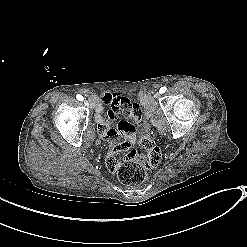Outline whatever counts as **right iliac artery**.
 I'll use <instances>...</instances> for the list:
<instances>
[{
	"label": "right iliac artery",
	"instance_id": "obj_1",
	"mask_svg": "<svg viewBox=\"0 0 247 247\" xmlns=\"http://www.w3.org/2000/svg\"><path fill=\"white\" fill-rule=\"evenodd\" d=\"M76 98H77L79 101H82V100H83V96L80 95V94H77V95H76Z\"/></svg>",
	"mask_w": 247,
	"mask_h": 247
}]
</instances>
